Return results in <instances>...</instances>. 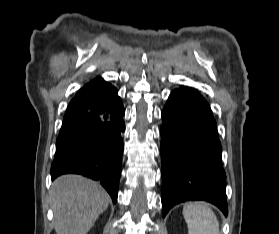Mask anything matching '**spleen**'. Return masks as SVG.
<instances>
[{"mask_svg": "<svg viewBox=\"0 0 279 234\" xmlns=\"http://www.w3.org/2000/svg\"><path fill=\"white\" fill-rule=\"evenodd\" d=\"M188 234H219L215 213L202 202L189 203L183 208Z\"/></svg>", "mask_w": 279, "mask_h": 234, "instance_id": "obj_1", "label": "spleen"}]
</instances>
